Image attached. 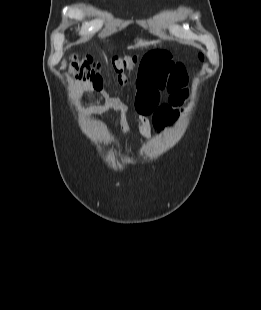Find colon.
<instances>
[{
  "label": "colon",
  "mask_w": 261,
  "mask_h": 310,
  "mask_svg": "<svg viewBox=\"0 0 261 310\" xmlns=\"http://www.w3.org/2000/svg\"><path fill=\"white\" fill-rule=\"evenodd\" d=\"M198 58L201 60L203 56L199 54ZM136 63L137 59L132 56L114 58L107 65H102L89 56L74 57L70 63V72L76 80L88 83L100 91L110 83L108 73H112L119 85L126 84Z\"/></svg>",
  "instance_id": "5ec220e1"
}]
</instances>
